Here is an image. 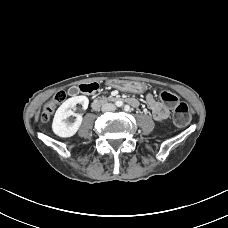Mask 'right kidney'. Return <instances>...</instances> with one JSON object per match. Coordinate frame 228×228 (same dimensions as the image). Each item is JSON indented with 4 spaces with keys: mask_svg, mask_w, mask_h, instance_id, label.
Returning <instances> with one entry per match:
<instances>
[{
    "mask_svg": "<svg viewBox=\"0 0 228 228\" xmlns=\"http://www.w3.org/2000/svg\"><path fill=\"white\" fill-rule=\"evenodd\" d=\"M77 104H81L83 109L86 110L89 100L86 96H74L67 99L57 109L52 123L54 134L62 138L72 137L76 134L82 123V116L72 111ZM70 116L76 117L72 123L68 121V117Z\"/></svg>",
    "mask_w": 228,
    "mask_h": 228,
    "instance_id": "right-kidney-1",
    "label": "right kidney"
}]
</instances>
